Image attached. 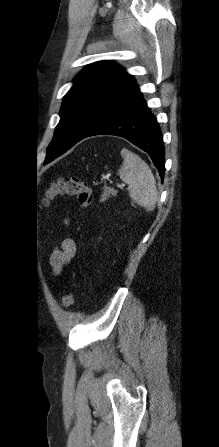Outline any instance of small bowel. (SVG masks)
<instances>
[{"label": "small bowel", "mask_w": 219, "mask_h": 447, "mask_svg": "<svg viewBox=\"0 0 219 447\" xmlns=\"http://www.w3.org/2000/svg\"><path fill=\"white\" fill-rule=\"evenodd\" d=\"M65 224L69 225L70 221L65 220ZM76 254V244L70 238H65L59 249H55L50 258L51 265L53 266L54 273L59 274L62 268L70 262V260Z\"/></svg>", "instance_id": "small-bowel-1"}]
</instances>
